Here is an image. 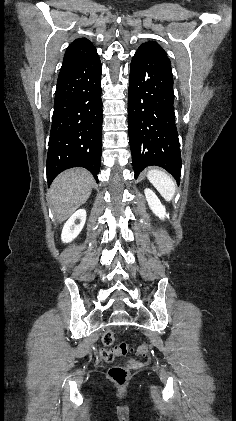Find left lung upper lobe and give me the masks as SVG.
I'll return each instance as SVG.
<instances>
[{"label": "left lung upper lobe", "instance_id": "5c2ea615", "mask_svg": "<svg viewBox=\"0 0 236 421\" xmlns=\"http://www.w3.org/2000/svg\"><path fill=\"white\" fill-rule=\"evenodd\" d=\"M143 44H156V43H154V42H146V43H143Z\"/></svg>", "mask_w": 236, "mask_h": 421}]
</instances>
